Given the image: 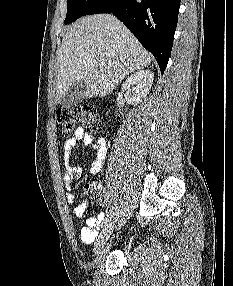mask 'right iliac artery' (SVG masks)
Returning <instances> with one entry per match:
<instances>
[{"instance_id":"82829eb1","label":"right iliac artery","mask_w":233,"mask_h":286,"mask_svg":"<svg viewBox=\"0 0 233 286\" xmlns=\"http://www.w3.org/2000/svg\"><path fill=\"white\" fill-rule=\"evenodd\" d=\"M110 222H111V217L106 218L103 225H102V228L108 227Z\"/></svg>"}]
</instances>
